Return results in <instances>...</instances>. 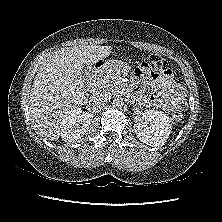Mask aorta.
I'll use <instances>...</instances> for the list:
<instances>
[{
  "label": "aorta",
  "mask_w": 222,
  "mask_h": 222,
  "mask_svg": "<svg viewBox=\"0 0 222 222\" xmlns=\"http://www.w3.org/2000/svg\"><path fill=\"white\" fill-rule=\"evenodd\" d=\"M123 99L122 98H114V100H113V106L115 107V108H120V107H122L123 106Z\"/></svg>",
  "instance_id": "aorta-1"
}]
</instances>
